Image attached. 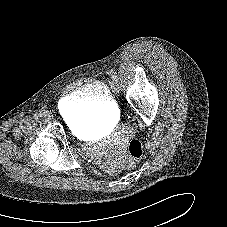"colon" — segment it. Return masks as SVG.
<instances>
[{
	"label": "colon",
	"instance_id": "1",
	"mask_svg": "<svg viewBox=\"0 0 227 227\" xmlns=\"http://www.w3.org/2000/svg\"><path fill=\"white\" fill-rule=\"evenodd\" d=\"M142 145L138 140H131L128 144V157L125 163L126 168H130L136 164V162L142 156Z\"/></svg>",
	"mask_w": 227,
	"mask_h": 227
}]
</instances>
